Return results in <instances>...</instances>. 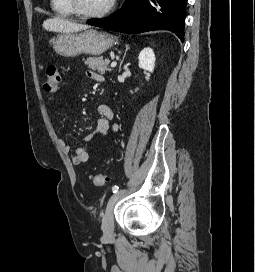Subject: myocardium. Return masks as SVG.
Masks as SVG:
<instances>
[{
    "label": "myocardium",
    "instance_id": "1",
    "mask_svg": "<svg viewBox=\"0 0 255 272\" xmlns=\"http://www.w3.org/2000/svg\"><path fill=\"white\" fill-rule=\"evenodd\" d=\"M68 7L71 9V11L80 18L85 19H96V18H102L111 13V11L114 9L116 0H110L107 7L99 12H86L83 11L80 6L78 0H66Z\"/></svg>",
    "mask_w": 255,
    "mask_h": 272
}]
</instances>
